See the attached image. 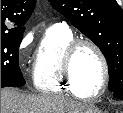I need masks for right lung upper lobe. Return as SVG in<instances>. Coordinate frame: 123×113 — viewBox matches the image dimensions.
Returning a JSON list of instances; mask_svg holds the SVG:
<instances>
[{
	"instance_id": "1",
	"label": "right lung upper lobe",
	"mask_w": 123,
	"mask_h": 113,
	"mask_svg": "<svg viewBox=\"0 0 123 113\" xmlns=\"http://www.w3.org/2000/svg\"><path fill=\"white\" fill-rule=\"evenodd\" d=\"M36 0H1V37L23 35Z\"/></svg>"
}]
</instances>
